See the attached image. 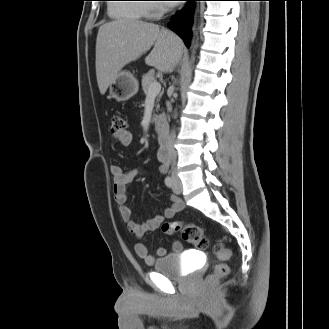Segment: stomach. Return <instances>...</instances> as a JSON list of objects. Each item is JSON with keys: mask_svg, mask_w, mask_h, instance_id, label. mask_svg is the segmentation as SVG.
<instances>
[{"mask_svg": "<svg viewBox=\"0 0 329 329\" xmlns=\"http://www.w3.org/2000/svg\"><path fill=\"white\" fill-rule=\"evenodd\" d=\"M139 89L137 79L127 71L118 73L117 77L110 83V96L117 101H126L133 97Z\"/></svg>", "mask_w": 329, "mask_h": 329, "instance_id": "0dacf381", "label": "stomach"}]
</instances>
